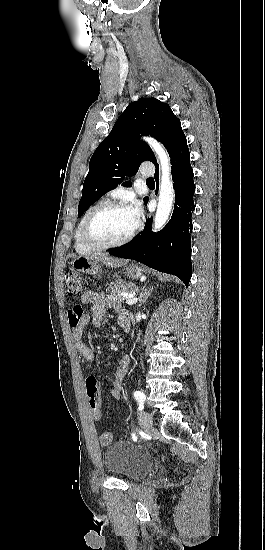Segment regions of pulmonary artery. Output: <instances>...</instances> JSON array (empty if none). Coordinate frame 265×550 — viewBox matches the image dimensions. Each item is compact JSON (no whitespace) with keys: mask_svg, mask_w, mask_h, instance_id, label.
I'll return each mask as SVG.
<instances>
[{"mask_svg":"<svg viewBox=\"0 0 265 550\" xmlns=\"http://www.w3.org/2000/svg\"><path fill=\"white\" fill-rule=\"evenodd\" d=\"M151 173H152L151 170H147V169H142L141 170V175L142 176H149Z\"/></svg>","mask_w":265,"mask_h":550,"instance_id":"pulmonary-artery-1","label":"pulmonary artery"}]
</instances>
